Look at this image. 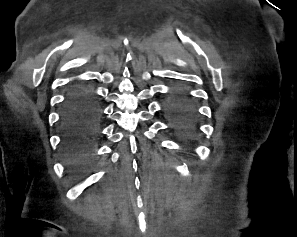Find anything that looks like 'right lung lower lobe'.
Listing matches in <instances>:
<instances>
[{"label": "right lung lower lobe", "mask_w": 297, "mask_h": 237, "mask_svg": "<svg viewBox=\"0 0 297 237\" xmlns=\"http://www.w3.org/2000/svg\"><path fill=\"white\" fill-rule=\"evenodd\" d=\"M97 116L98 109L91 92L73 89L62 114V144L67 162L75 169L82 168L91 160Z\"/></svg>", "instance_id": "1"}]
</instances>
